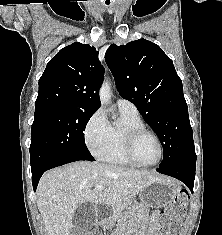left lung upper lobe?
<instances>
[{
  "label": "left lung upper lobe",
  "mask_w": 222,
  "mask_h": 235,
  "mask_svg": "<svg viewBox=\"0 0 222 235\" xmlns=\"http://www.w3.org/2000/svg\"><path fill=\"white\" fill-rule=\"evenodd\" d=\"M105 60L119 94L137 107L158 135L164 154L159 167L196 163L188 107L173 61L146 39L111 45Z\"/></svg>",
  "instance_id": "obj_1"
}]
</instances>
